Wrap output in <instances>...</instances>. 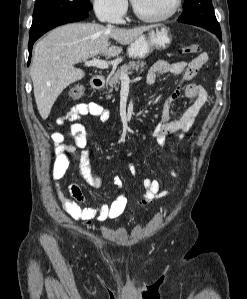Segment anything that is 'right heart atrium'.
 <instances>
[{
	"instance_id": "d8ad5b80",
	"label": "right heart atrium",
	"mask_w": 247,
	"mask_h": 299,
	"mask_svg": "<svg viewBox=\"0 0 247 299\" xmlns=\"http://www.w3.org/2000/svg\"><path fill=\"white\" fill-rule=\"evenodd\" d=\"M97 17L103 21L117 23L127 10V0H91Z\"/></svg>"
}]
</instances>
